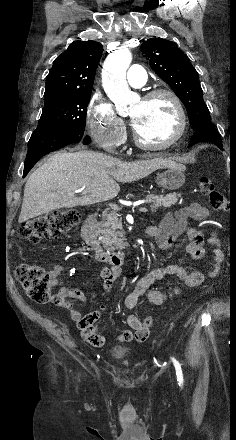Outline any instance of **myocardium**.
Returning <instances> with one entry per match:
<instances>
[{
  "mask_svg": "<svg viewBox=\"0 0 236 440\" xmlns=\"http://www.w3.org/2000/svg\"><path fill=\"white\" fill-rule=\"evenodd\" d=\"M162 96L169 98L175 108L176 115H177L176 132L169 140H167L163 143L152 144V143H148V142L143 141L138 136L136 131L134 130V132H133L134 142L138 147H140L142 149L152 150V151L167 149V148L175 145L177 142H179L186 132L187 117H186L185 109H184V106H183L180 98L173 91H171L169 89H165V88L153 89V90L145 93L142 97V100L149 101L154 98H158V97H162Z\"/></svg>",
  "mask_w": 236,
  "mask_h": 440,
  "instance_id": "obj_1",
  "label": "myocardium"
}]
</instances>
